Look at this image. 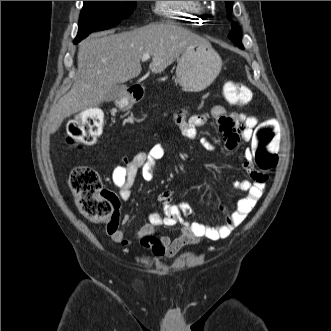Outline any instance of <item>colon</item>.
Here are the masks:
<instances>
[{
  "mask_svg": "<svg viewBox=\"0 0 331 331\" xmlns=\"http://www.w3.org/2000/svg\"><path fill=\"white\" fill-rule=\"evenodd\" d=\"M226 100L235 106L246 104L250 99L249 89L237 82H227L223 87ZM104 127L103 113L96 108L81 112L67 127L70 144L89 145L96 141ZM281 125L275 118L259 123L253 133L255 161L260 170L269 171L277 164V148L280 143ZM69 185L79 211L97 224H113L114 204L117 197L103 188L99 175L87 166L74 168Z\"/></svg>",
  "mask_w": 331,
  "mask_h": 331,
  "instance_id": "1",
  "label": "colon"
}]
</instances>
